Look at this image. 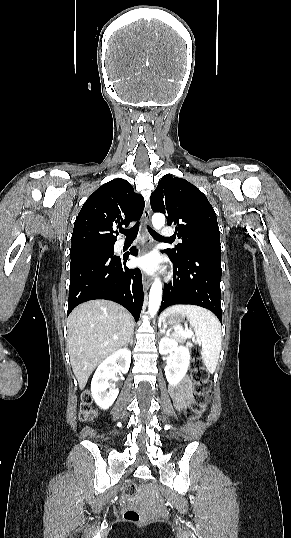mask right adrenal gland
<instances>
[{"label": "right adrenal gland", "instance_id": "obj_1", "mask_svg": "<svg viewBox=\"0 0 291 538\" xmlns=\"http://www.w3.org/2000/svg\"><path fill=\"white\" fill-rule=\"evenodd\" d=\"M128 343H130V345H132V344H133V334L131 335V338H130V340H129V342H128ZM128 343H127L126 345H128Z\"/></svg>", "mask_w": 291, "mask_h": 538}]
</instances>
